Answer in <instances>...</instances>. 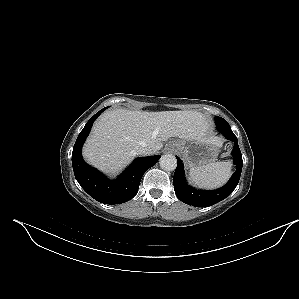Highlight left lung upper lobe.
<instances>
[{
    "instance_id": "obj_1",
    "label": "left lung upper lobe",
    "mask_w": 299,
    "mask_h": 299,
    "mask_svg": "<svg viewBox=\"0 0 299 299\" xmlns=\"http://www.w3.org/2000/svg\"><path fill=\"white\" fill-rule=\"evenodd\" d=\"M214 119H222V120H224L223 118H221V117H215Z\"/></svg>"
}]
</instances>
